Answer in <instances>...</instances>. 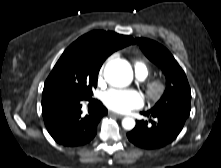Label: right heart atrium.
Segmentation results:
<instances>
[{
	"mask_svg": "<svg viewBox=\"0 0 221 168\" xmlns=\"http://www.w3.org/2000/svg\"><path fill=\"white\" fill-rule=\"evenodd\" d=\"M100 76H102V70L100 71Z\"/></svg>",
	"mask_w": 221,
	"mask_h": 168,
	"instance_id": "obj_1",
	"label": "right heart atrium"
}]
</instances>
